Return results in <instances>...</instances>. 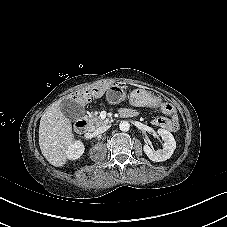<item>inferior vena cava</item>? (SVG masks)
<instances>
[{
    "label": "inferior vena cava",
    "instance_id": "1",
    "mask_svg": "<svg viewBox=\"0 0 227 227\" xmlns=\"http://www.w3.org/2000/svg\"><path fill=\"white\" fill-rule=\"evenodd\" d=\"M109 129V126L108 125H104V126H101L99 128H97L95 131H94V134L95 135H99V134H102L104 133L106 130Z\"/></svg>",
    "mask_w": 227,
    "mask_h": 227
}]
</instances>
